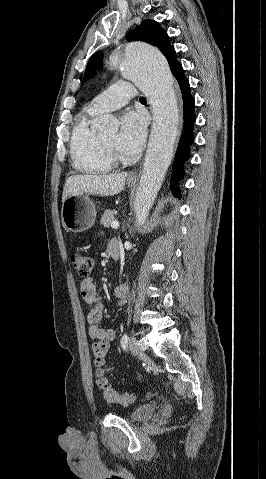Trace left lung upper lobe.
I'll use <instances>...</instances> for the list:
<instances>
[{
  "label": "left lung upper lobe",
  "mask_w": 266,
  "mask_h": 479,
  "mask_svg": "<svg viewBox=\"0 0 266 479\" xmlns=\"http://www.w3.org/2000/svg\"><path fill=\"white\" fill-rule=\"evenodd\" d=\"M126 39L128 41H143L158 47L167 58L171 71L179 64L175 50L169 43L168 35L156 21L144 20L126 35ZM102 59V53L94 54L88 62L87 72L94 70L97 66H101Z\"/></svg>",
  "instance_id": "1"
}]
</instances>
